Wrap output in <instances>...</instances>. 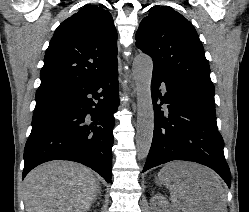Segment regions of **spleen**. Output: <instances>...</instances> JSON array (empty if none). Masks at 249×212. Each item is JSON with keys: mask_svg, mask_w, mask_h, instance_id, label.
<instances>
[{"mask_svg": "<svg viewBox=\"0 0 249 212\" xmlns=\"http://www.w3.org/2000/svg\"><path fill=\"white\" fill-rule=\"evenodd\" d=\"M163 170H166V168H163ZM163 170H160V172L158 174L159 180H160V182H162V184H166V186H168L167 172H164L165 178H161V176H160V174H161V172H163Z\"/></svg>", "mask_w": 249, "mask_h": 212, "instance_id": "obj_1", "label": "spleen"}]
</instances>
